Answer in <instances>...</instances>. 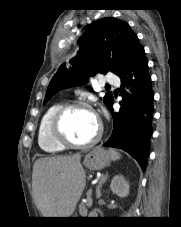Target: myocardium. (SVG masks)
Masks as SVG:
<instances>
[{
    "label": "myocardium",
    "instance_id": "f54148a6",
    "mask_svg": "<svg viewBox=\"0 0 181 227\" xmlns=\"http://www.w3.org/2000/svg\"><path fill=\"white\" fill-rule=\"evenodd\" d=\"M74 109L88 110L95 115V117L97 118V121H98V131L95 134V136L92 139H90L86 142H83V143L74 142V141L70 140L63 131V127H62L63 119L70 111H72ZM50 130H51V134H52L53 138L58 143L62 144L65 147L77 148V149H86V148H90V147L94 146L101 139V136L103 133L102 124H101L100 120L98 119L94 109L92 108L91 105H89L86 102H82V101H74V102L62 105L56 111V113L54 114V116L51 120Z\"/></svg>",
    "mask_w": 181,
    "mask_h": 227
}]
</instances>
